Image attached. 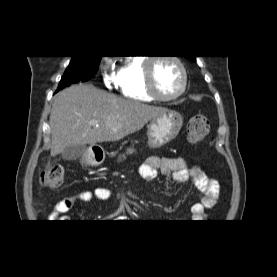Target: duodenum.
<instances>
[{"label":"duodenum","mask_w":277,"mask_h":277,"mask_svg":"<svg viewBox=\"0 0 277 277\" xmlns=\"http://www.w3.org/2000/svg\"><path fill=\"white\" fill-rule=\"evenodd\" d=\"M104 156L103 151L94 149L89 156V162L91 165L99 164L104 159Z\"/></svg>","instance_id":"1"}]
</instances>
